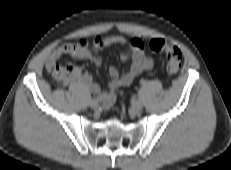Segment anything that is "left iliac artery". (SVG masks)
<instances>
[{
    "mask_svg": "<svg viewBox=\"0 0 231 170\" xmlns=\"http://www.w3.org/2000/svg\"><path fill=\"white\" fill-rule=\"evenodd\" d=\"M144 83H145L144 81L141 82V84H144Z\"/></svg>",
    "mask_w": 231,
    "mask_h": 170,
    "instance_id": "obj_1",
    "label": "left iliac artery"
}]
</instances>
